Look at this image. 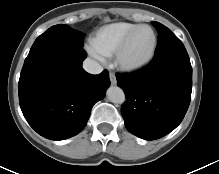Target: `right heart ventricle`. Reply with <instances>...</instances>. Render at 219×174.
<instances>
[{
    "mask_svg": "<svg viewBox=\"0 0 219 174\" xmlns=\"http://www.w3.org/2000/svg\"><path fill=\"white\" fill-rule=\"evenodd\" d=\"M139 24L114 22L99 28L91 39V45L102 55L115 54L123 39Z\"/></svg>",
    "mask_w": 219,
    "mask_h": 174,
    "instance_id": "e07e8e85",
    "label": "right heart ventricle"
}]
</instances>
